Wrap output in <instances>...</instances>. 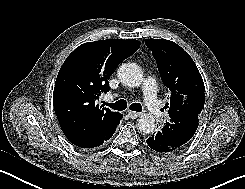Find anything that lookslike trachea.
Segmentation results:
<instances>
[{"label": "trachea", "instance_id": "1", "mask_svg": "<svg viewBox=\"0 0 245 189\" xmlns=\"http://www.w3.org/2000/svg\"><path fill=\"white\" fill-rule=\"evenodd\" d=\"M107 105L114 109V110H118V111H123L127 108V102L124 99H121L115 103H107ZM130 110L132 111H136V112H141L142 111V106L140 103H133L129 106Z\"/></svg>", "mask_w": 245, "mask_h": 189}]
</instances>
